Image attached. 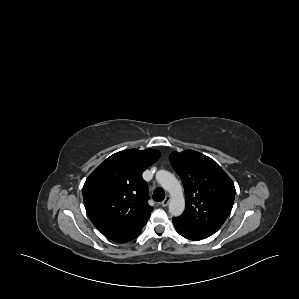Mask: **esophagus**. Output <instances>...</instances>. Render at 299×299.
<instances>
[{"label": "esophagus", "mask_w": 299, "mask_h": 299, "mask_svg": "<svg viewBox=\"0 0 299 299\" xmlns=\"http://www.w3.org/2000/svg\"><path fill=\"white\" fill-rule=\"evenodd\" d=\"M169 200H170V197L169 196H166L165 199L161 202V205L163 207H166L169 203Z\"/></svg>", "instance_id": "34e87169"}]
</instances>
